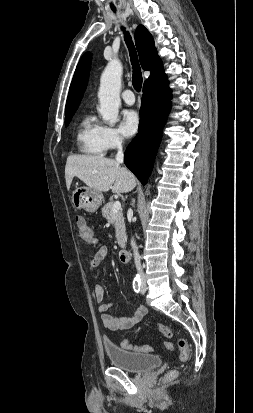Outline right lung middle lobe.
<instances>
[{"mask_svg": "<svg viewBox=\"0 0 253 413\" xmlns=\"http://www.w3.org/2000/svg\"><path fill=\"white\" fill-rule=\"evenodd\" d=\"M73 115L65 116V126L67 127Z\"/></svg>", "mask_w": 253, "mask_h": 413, "instance_id": "1", "label": "right lung middle lobe"}]
</instances>
